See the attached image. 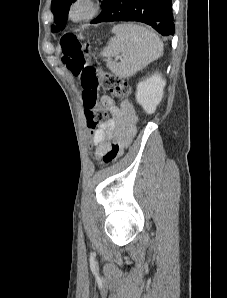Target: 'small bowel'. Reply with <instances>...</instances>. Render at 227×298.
<instances>
[{
    "label": "small bowel",
    "instance_id": "obj_1",
    "mask_svg": "<svg viewBox=\"0 0 227 298\" xmlns=\"http://www.w3.org/2000/svg\"><path fill=\"white\" fill-rule=\"evenodd\" d=\"M102 107L110 113V118L94 132L95 157L104 161L105 167H112V162L119 159V154L136 134L137 116L129 102L117 106L109 96L102 97Z\"/></svg>",
    "mask_w": 227,
    "mask_h": 298
}]
</instances>
